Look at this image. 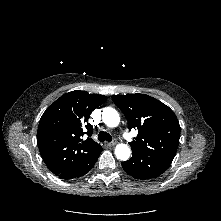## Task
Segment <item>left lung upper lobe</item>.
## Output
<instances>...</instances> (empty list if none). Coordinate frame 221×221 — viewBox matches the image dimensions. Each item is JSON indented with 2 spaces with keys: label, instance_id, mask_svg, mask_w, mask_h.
I'll list each match as a JSON object with an SVG mask.
<instances>
[{
  "label": "left lung upper lobe",
  "instance_id": "1",
  "mask_svg": "<svg viewBox=\"0 0 221 221\" xmlns=\"http://www.w3.org/2000/svg\"><path fill=\"white\" fill-rule=\"evenodd\" d=\"M128 121L138 129L130 142L133 153L172 161L180 138V125L174 112L159 100L145 94L112 96Z\"/></svg>",
  "mask_w": 221,
  "mask_h": 221
}]
</instances>
